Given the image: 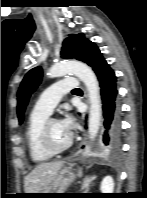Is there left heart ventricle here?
I'll use <instances>...</instances> for the list:
<instances>
[{"label": "left heart ventricle", "instance_id": "1", "mask_svg": "<svg viewBox=\"0 0 147 198\" xmlns=\"http://www.w3.org/2000/svg\"><path fill=\"white\" fill-rule=\"evenodd\" d=\"M49 133L52 143L56 147L65 145L70 137V135L62 128L60 122L56 120L50 122Z\"/></svg>", "mask_w": 147, "mask_h": 198}]
</instances>
